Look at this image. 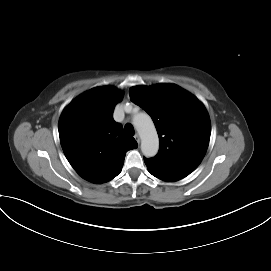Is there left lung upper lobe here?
Masks as SVG:
<instances>
[{
  "mask_svg": "<svg viewBox=\"0 0 271 271\" xmlns=\"http://www.w3.org/2000/svg\"><path fill=\"white\" fill-rule=\"evenodd\" d=\"M129 94L155 123L160 149L152 160L191 172L195 170L206 153L211 133L204 105L174 84L136 86Z\"/></svg>",
  "mask_w": 271,
  "mask_h": 271,
  "instance_id": "1",
  "label": "left lung upper lobe"
}]
</instances>
